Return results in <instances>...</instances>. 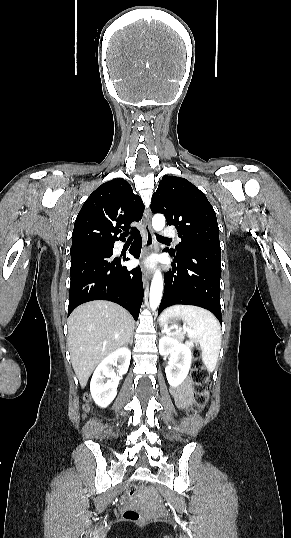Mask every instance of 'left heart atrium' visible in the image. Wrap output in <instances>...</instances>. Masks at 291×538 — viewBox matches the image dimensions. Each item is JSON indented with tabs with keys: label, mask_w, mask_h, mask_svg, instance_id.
Returning <instances> with one entry per match:
<instances>
[{
	"label": "left heart atrium",
	"mask_w": 291,
	"mask_h": 538,
	"mask_svg": "<svg viewBox=\"0 0 291 538\" xmlns=\"http://www.w3.org/2000/svg\"><path fill=\"white\" fill-rule=\"evenodd\" d=\"M152 262H153V261H152V260L150 259V260H147V262H146V263H147V264H150V265H151V264H152Z\"/></svg>",
	"instance_id": "39dd6f15"
}]
</instances>
